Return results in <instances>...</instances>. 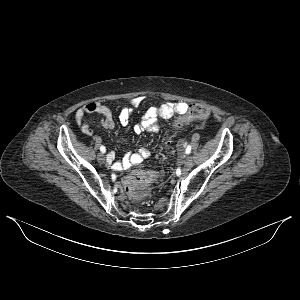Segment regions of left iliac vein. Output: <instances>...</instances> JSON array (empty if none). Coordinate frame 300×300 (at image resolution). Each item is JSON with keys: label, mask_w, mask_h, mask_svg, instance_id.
<instances>
[{"label": "left iliac vein", "mask_w": 300, "mask_h": 300, "mask_svg": "<svg viewBox=\"0 0 300 300\" xmlns=\"http://www.w3.org/2000/svg\"><path fill=\"white\" fill-rule=\"evenodd\" d=\"M193 166V160L192 157L188 156L186 157L185 163H184V171H188Z\"/></svg>", "instance_id": "left-iliac-vein-1"}]
</instances>
